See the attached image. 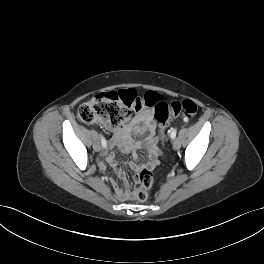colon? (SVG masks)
Instances as JSON below:
<instances>
[{
  "mask_svg": "<svg viewBox=\"0 0 264 264\" xmlns=\"http://www.w3.org/2000/svg\"><path fill=\"white\" fill-rule=\"evenodd\" d=\"M152 108L159 125V136L166 139L165 130L171 117L193 118L198 107L190 99L166 103L161 96L153 91L139 94L134 89L104 92L83 103L77 110V117L84 123H100L108 129L118 128L128 112ZM153 184V174L150 169H142L134 179V190L131 197L140 202L148 198V191Z\"/></svg>",
  "mask_w": 264,
  "mask_h": 264,
  "instance_id": "colon-1",
  "label": "colon"
}]
</instances>
